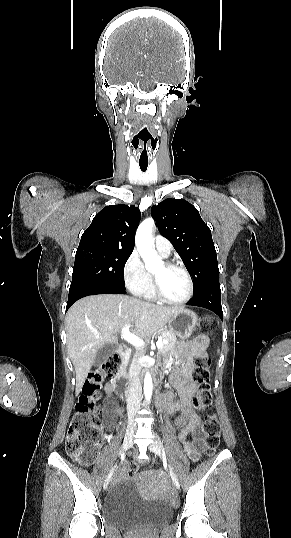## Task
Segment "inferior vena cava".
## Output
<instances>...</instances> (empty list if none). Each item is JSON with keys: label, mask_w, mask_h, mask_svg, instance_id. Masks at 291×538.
<instances>
[{"label": "inferior vena cava", "mask_w": 291, "mask_h": 538, "mask_svg": "<svg viewBox=\"0 0 291 538\" xmlns=\"http://www.w3.org/2000/svg\"><path fill=\"white\" fill-rule=\"evenodd\" d=\"M141 396L142 387L140 383L139 373H136L131 379L130 390L127 397V411L130 422L134 421L133 418L136 415L137 411L140 409Z\"/></svg>", "instance_id": "1"}]
</instances>
